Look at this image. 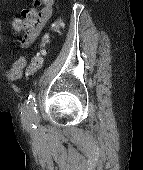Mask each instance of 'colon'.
Instances as JSON below:
<instances>
[{
    "instance_id": "colon-1",
    "label": "colon",
    "mask_w": 143,
    "mask_h": 170,
    "mask_svg": "<svg viewBox=\"0 0 143 170\" xmlns=\"http://www.w3.org/2000/svg\"><path fill=\"white\" fill-rule=\"evenodd\" d=\"M36 8L28 7L21 11L20 19L21 22L16 24L17 27H27L35 18L36 16ZM63 27V22L61 17H58L54 20L49 28V30L43 35L40 46L38 51L34 54L31 63L27 68V75L33 76L36 74L43 65L44 56H45V49L44 46L48 41L50 34L52 32H60L61 28Z\"/></svg>"
}]
</instances>
